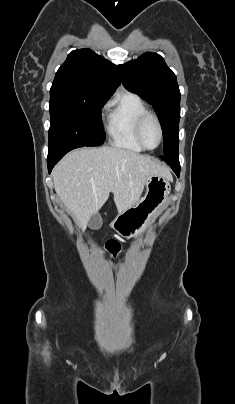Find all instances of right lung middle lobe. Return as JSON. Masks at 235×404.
Returning <instances> with one entry per match:
<instances>
[{"label":"right lung middle lobe","instance_id":"right-lung-middle-lobe-1","mask_svg":"<svg viewBox=\"0 0 235 404\" xmlns=\"http://www.w3.org/2000/svg\"><path fill=\"white\" fill-rule=\"evenodd\" d=\"M106 100L50 91L49 147L61 143L99 146L105 139L101 108Z\"/></svg>","mask_w":235,"mask_h":404}]
</instances>
